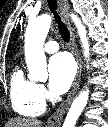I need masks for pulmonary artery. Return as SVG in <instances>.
I'll use <instances>...</instances> for the list:
<instances>
[{
    "instance_id": "pulmonary-artery-1",
    "label": "pulmonary artery",
    "mask_w": 108,
    "mask_h": 127,
    "mask_svg": "<svg viewBox=\"0 0 108 127\" xmlns=\"http://www.w3.org/2000/svg\"><path fill=\"white\" fill-rule=\"evenodd\" d=\"M44 50L47 53H54L59 50V45L56 41H48L44 45Z\"/></svg>"
}]
</instances>
